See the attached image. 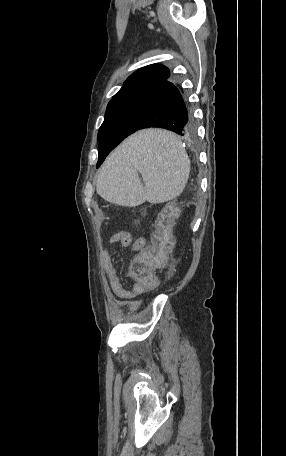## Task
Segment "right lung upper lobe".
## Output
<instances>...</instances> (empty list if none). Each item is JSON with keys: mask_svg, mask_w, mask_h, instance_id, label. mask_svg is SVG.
<instances>
[{"mask_svg": "<svg viewBox=\"0 0 286 456\" xmlns=\"http://www.w3.org/2000/svg\"><path fill=\"white\" fill-rule=\"evenodd\" d=\"M169 76V70L164 65L153 64L141 68L127 78L122 88L113 96L110 102L122 99L138 88L167 80Z\"/></svg>", "mask_w": 286, "mask_h": 456, "instance_id": "obj_1", "label": "right lung upper lobe"}]
</instances>
